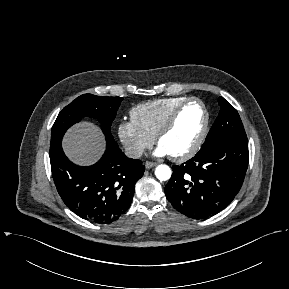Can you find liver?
<instances>
[{"label":"liver","instance_id":"obj_1","mask_svg":"<svg viewBox=\"0 0 289 289\" xmlns=\"http://www.w3.org/2000/svg\"><path fill=\"white\" fill-rule=\"evenodd\" d=\"M66 156L76 164L91 165L105 150V139L94 123L82 121L70 128L63 139Z\"/></svg>","mask_w":289,"mask_h":289}]
</instances>
